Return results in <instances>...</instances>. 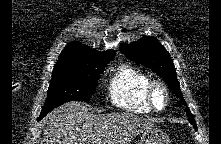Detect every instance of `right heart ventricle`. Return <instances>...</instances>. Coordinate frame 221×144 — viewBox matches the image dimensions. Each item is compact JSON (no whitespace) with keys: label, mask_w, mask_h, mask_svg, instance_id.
<instances>
[{"label":"right heart ventricle","mask_w":221,"mask_h":144,"mask_svg":"<svg viewBox=\"0 0 221 144\" xmlns=\"http://www.w3.org/2000/svg\"><path fill=\"white\" fill-rule=\"evenodd\" d=\"M150 80L148 74L135 66H119L108 85L111 103L129 112L149 113L152 109L146 100V88Z\"/></svg>","instance_id":"obj_1"}]
</instances>
